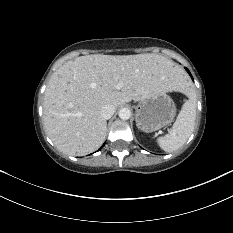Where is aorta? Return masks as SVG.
Wrapping results in <instances>:
<instances>
[{"instance_id":"obj_1","label":"aorta","mask_w":233,"mask_h":233,"mask_svg":"<svg viewBox=\"0 0 233 233\" xmlns=\"http://www.w3.org/2000/svg\"><path fill=\"white\" fill-rule=\"evenodd\" d=\"M119 117L122 120H128L131 117V111L128 108H121L119 110Z\"/></svg>"}]
</instances>
